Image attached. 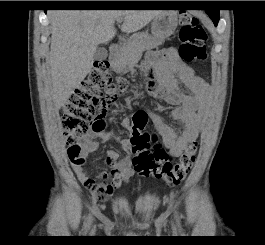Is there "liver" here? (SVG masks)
<instances>
[{
	"label": "liver",
	"instance_id": "6515ba94",
	"mask_svg": "<svg viewBox=\"0 0 265 245\" xmlns=\"http://www.w3.org/2000/svg\"><path fill=\"white\" fill-rule=\"evenodd\" d=\"M164 13L162 10H58L51 13L49 65L52 97L59 110L92 68L99 44L116 35L114 22L122 19V32L132 33Z\"/></svg>",
	"mask_w": 265,
	"mask_h": 245
}]
</instances>
